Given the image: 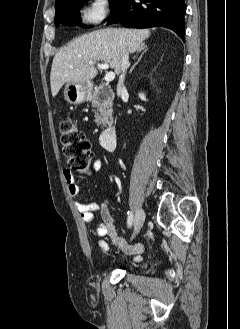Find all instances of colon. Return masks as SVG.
<instances>
[{"label":"colon","instance_id":"5ec220e1","mask_svg":"<svg viewBox=\"0 0 240 329\" xmlns=\"http://www.w3.org/2000/svg\"><path fill=\"white\" fill-rule=\"evenodd\" d=\"M61 142L68 165L78 172L89 173L91 144L85 134L70 120L61 123Z\"/></svg>","mask_w":240,"mask_h":329}]
</instances>
